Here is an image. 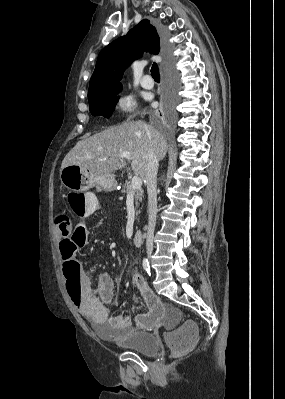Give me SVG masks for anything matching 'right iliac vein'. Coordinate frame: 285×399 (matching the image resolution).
<instances>
[{"label":"right iliac vein","instance_id":"obj_1","mask_svg":"<svg viewBox=\"0 0 285 399\" xmlns=\"http://www.w3.org/2000/svg\"><path fill=\"white\" fill-rule=\"evenodd\" d=\"M148 256L150 257V256H151V253H148Z\"/></svg>","mask_w":285,"mask_h":399}]
</instances>
